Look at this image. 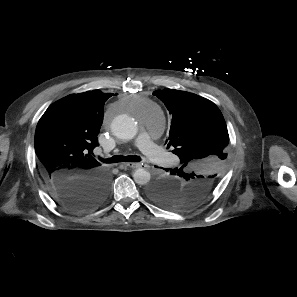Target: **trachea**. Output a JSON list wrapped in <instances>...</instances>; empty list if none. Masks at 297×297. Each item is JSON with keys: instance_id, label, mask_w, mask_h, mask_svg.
Segmentation results:
<instances>
[{"instance_id": "obj_1", "label": "trachea", "mask_w": 297, "mask_h": 297, "mask_svg": "<svg viewBox=\"0 0 297 297\" xmlns=\"http://www.w3.org/2000/svg\"><path fill=\"white\" fill-rule=\"evenodd\" d=\"M104 163H118V162H139L141 158L139 156H123V155H114L111 158L101 159Z\"/></svg>"}]
</instances>
